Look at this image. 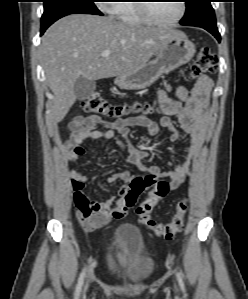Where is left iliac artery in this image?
Wrapping results in <instances>:
<instances>
[{
    "mask_svg": "<svg viewBox=\"0 0 248 299\" xmlns=\"http://www.w3.org/2000/svg\"><path fill=\"white\" fill-rule=\"evenodd\" d=\"M176 275H177V279H178V282H179V285H180L182 291H185V285H184V282L182 280L180 273L177 272Z\"/></svg>",
    "mask_w": 248,
    "mask_h": 299,
    "instance_id": "44dca946",
    "label": "left iliac artery"
}]
</instances>
